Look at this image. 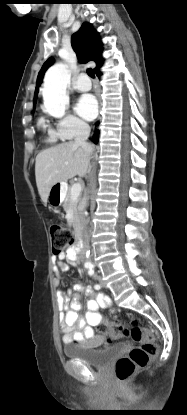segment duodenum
Listing matches in <instances>:
<instances>
[{"label":"duodenum","instance_id":"1","mask_svg":"<svg viewBox=\"0 0 187 415\" xmlns=\"http://www.w3.org/2000/svg\"><path fill=\"white\" fill-rule=\"evenodd\" d=\"M81 244H82V236H81V230H80V228H79V226L78 225H76L75 226V245L71 248V253H70V255H72L73 253V251H76V250H78L79 248H80V246H81ZM72 258H74V256L72 255Z\"/></svg>","mask_w":187,"mask_h":415}]
</instances>
